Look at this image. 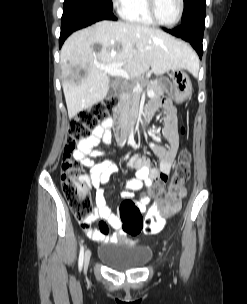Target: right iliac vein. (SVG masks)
Masks as SVG:
<instances>
[{
	"instance_id": "right-iliac-vein-1",
	"label": "right iliac vein",
	"mask_w": 247,
	"mask_h": 304,
	"mask_svg": "<svg viewBox=\"0 0 247 304\" xmlns=\"http://www.w3.org/2000/svg\"><path fill=\"white\" fill-rule=\"evenodd\" d=\"M90 257H91V252L89 250H86L84 255V268H87L90 261Z\"/></svg>"
}]
</instances>
